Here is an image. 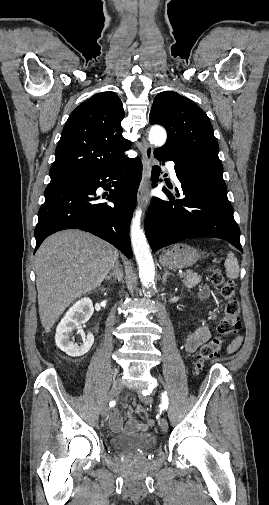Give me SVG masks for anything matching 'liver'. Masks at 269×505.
<instances>
[{
	"label": "liver",
	"instance_id": "1",
	"mask_svg": "<svg viewBox=\"0 0 269 505\" xmlns=\"http://www.w3.org/2000/svg\"><path fill=\"white\" fill-rule=\"evenodd\" d=\"M106 241L79 230L48 237L35 255L40 321L46 332L77 298L101 285L118 260Z\"/></svg>",
	"mask_w": 269,
	"mask_h": 505
}]
</instances>
